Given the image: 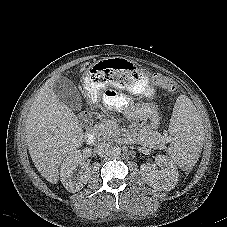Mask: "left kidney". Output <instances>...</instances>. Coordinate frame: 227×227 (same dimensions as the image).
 <instances>
[{
    "label": "left kidney",
    "instance_id": "5707ae66",
    "mask_svg": "<svg viewBox=\"0 0 227 227\" xmlns=\"http://www.w3.org/2000/svg\"><path fill=\"white\" fill-rule=\"evenodd\" d=\"M156 162L162 166L160 170L152 169L150 166L140 167L141 175L145 182L158 191H170L178 181L179 173L173 160L164 155H158Z\"/></svg>",
    "mask_w": 227,
    "mask_h": 227
}]
</instances>
